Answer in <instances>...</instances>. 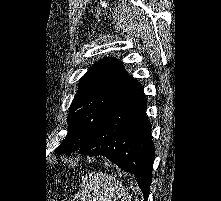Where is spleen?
Wrapping results in <instances>:
<instances>
[{"label":"spleen","mask_w":221,"mask_h":201,"mask_svg":"<svg viewBox=\"0 0 221 201\" xmlns=\"http://www.w3.org/2000/svg\"><path fill=\"white\" fill-rule=\"evenodd\" d=\"M73 201H131V196L115 177L94 172L82 180Z\"/></svg>","instance_id":"obj_1"}]
</instances>
